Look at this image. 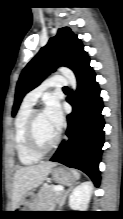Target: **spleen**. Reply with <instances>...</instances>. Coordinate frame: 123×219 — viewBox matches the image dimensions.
Segmentation results:
<instances>
[{"instance_id":"3e777b00","label":"spleen","mask_w":123,"mask_h":219,"mask_svg":"<svg viewBox=\"0 0 123 219\" xmlns=\"http://www.w3.org/2000/svg\"><path fill=\"white\" fill-rule=\"evenodd\" d=\"M72 173L77 179L80 177V174L76 170H73Z\"/></svg>"}]
</instances>
